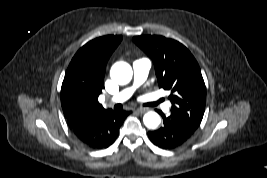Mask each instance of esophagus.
Masks as SVG:
<instances>
[{
	"label": "esophagus",
	"instance_id": "1",
	"mask_svg": "<svg viewBox=\"0 0 267 178\" xmlns=\"http://www.w3.org/2000/svg\"><path fill=\"white\" fill-rule=\"evenodd\" d=\"M136 111L139 113H145L148 111V108H137Z\"/></svg>",
	"mask_w": 267,
	"mask_h": 178
}]
</instances>
